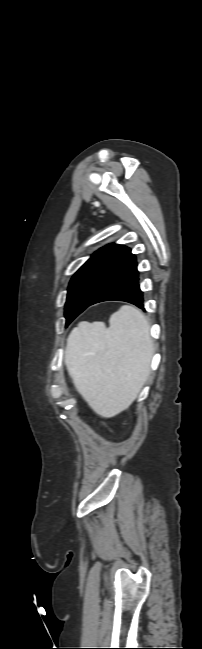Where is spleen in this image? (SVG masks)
Masks as SVG:
<instances>
[{
	"label": "spleen",
	"mask_w": 202,
	"mask_h": 649,
	"mask_svg": "<svg viewBox=\"0 0 202 649\" xmlns=\"http://www.w3.org/2000/svg\"><path fill=\"white\" fill-rule=\"evenodd\" d=\"M103 323L82 322L67 339L65 364L75 387L103 417L125 410L150 372L153 342L137 308L123 305Z\"/></svg>",
	"instance_id": "obj_1"
}]
</instances>
